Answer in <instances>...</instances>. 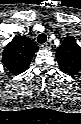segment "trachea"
<instances>
[{"label": "trachea", "instance_id": "3493384b", "mask_svg": "<svg viewBox=\"0 0 81 124\" xmlns=\"http://www.w3.org/2000/svg\"><path fill=\"white\" fill-rule=\"evenodd\" d=\"M37 41L40 44H44L47 41V36L44 33H41L38 35Z\"/></svg>", "mask_w": 81, "mask_h": 124}]
</instances>
